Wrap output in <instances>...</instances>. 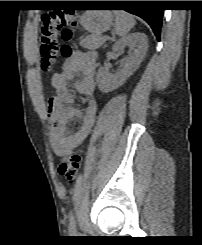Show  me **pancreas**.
<instances>
[{"label": "pancreas", "instance_id": "pancreas-1", "mask_svg": "<svg viewBox=\"0 0 202 245\" xmlns=\"http://www.w3.org/2000/svg\"><path fill=\"white\" fill-rule=\"evenodd\" d=\"M105 43V40L100 35H90L84 38L80 45L86 49L95 50L100 48Z\"/></svg>", "mask_w": 202, "mask_h": 245}]
</instances>
